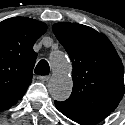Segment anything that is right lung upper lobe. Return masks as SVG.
<instances>
[{"mask_svg": "<svg viewBox=\"0 0 125 125\" xmlns=\"http://www.w3.org/2000/svg\"><path fill=\"white\" fill-rule=\"evenodd\" d=\"M46 30L45 23L26 17L0 22V111L15 105L31 84L33 44Z\"/></svg>", "mask_w": 125, "mask_h": 125, "instance_id": "right-lung-upper-lobe-1", "label": "right lung upper lobe"}]
</instances>
